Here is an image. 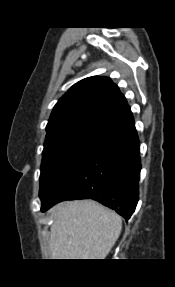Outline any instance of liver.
Wrapping results in <instances>:
<instances>
[{
	"instance_id": "6515ba94",
	"label": "liver",
	"mask_w": 175,
	"mask_h": 287,
	"mask_svg": "<svg viewBox=\"0 0 175 287\" xmlns=\"http://www.w3.org/2000/svg\"><path fill=\"white\" fill-rule=\"evenodd\" d=\"M52 217V259H105L122 229L117 213L92 200L60 203Z\"/></svg>"
}]
</instances>
